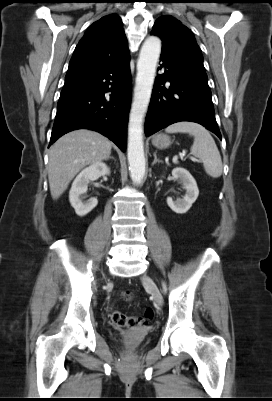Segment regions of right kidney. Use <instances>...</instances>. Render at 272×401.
I'll list each match as a JSON object with an SVG mask.
<instances>
[{
  "label": "right kidney",
  "mask_w": 272,
  "mask_h": 401,
  "mask_svg": "<svg viewBox=\"0 0 272 401\" xmlns=\"http://www.w3.org/2000/svg\"><path fill=\"white\" fill-rule=\"evenodd\" d=\"M109 174L110 168L103 162H97L83 169L75 178L69 192V200L78 216H85L98 204L96 198H91L86 203L82 202L83 194L87 192L88 184L101 176Z\"/></svg>",
  "instance_id": "right-kidney-1"
}]
</instances>
